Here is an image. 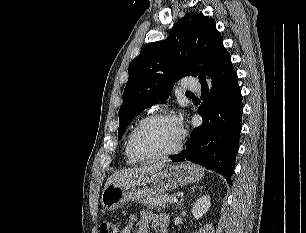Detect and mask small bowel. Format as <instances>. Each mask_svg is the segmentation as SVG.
<instances>
[{
    "instance_id": "1",
    "label": "small bowel",
    "mask_w": 306,
    "mask_h": 233,
    "mask_svg": "<svg viewBox=\"0 0 306 233\" xmlns=\"http://www.w3.org/2000/svg\"><path fill=\"white\" fill-rule=\"evenodd\" d=\"M168 223V215L155 214L150 210H142L138 216L134 215L130 218V221L124 228L123 233H131L134 225H136V233H148L150 226L165 228Z\"/></svg>"
}]
</instances>
